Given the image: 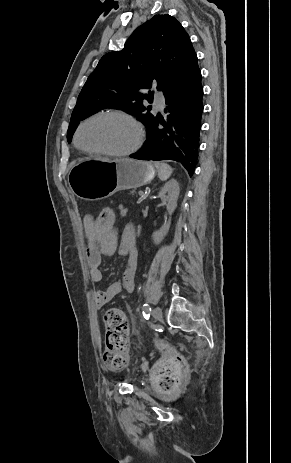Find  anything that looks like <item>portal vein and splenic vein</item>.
I'll list each match as a JSON object with an SVG mask.
<instances>
[{"instance_id":"18ae733b","label":"portal vein and splenic vein","mask_w":291,"mask_h":463,"mask_svg":"<svg viewBox=\"0 0 291 463\" xmlns=\"http://www.w3.org/2000/svg\"><path fill=\"white\" fill-rule=\"evenodd\" d=\"M139 195H140L141 197H143V196H144L143 191H139Z\"/></svg>"}]
</instances>
